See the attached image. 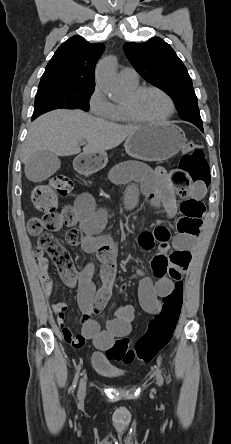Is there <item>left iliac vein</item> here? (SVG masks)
Instances as JSON below:
<instances>
[{
    "label": "left iliac vein",
    "instance_id": "4c4485c4",
    "mask_svg": "<svg viewBox=\"0 0 231 444\" xmlns=\"http://www.w3.org/2000/svg\"><path fill=\"white\" fill-rule=\"evenodd\" d=\"M157 383H158V385H161V384H162V378H161V376H158V377H157Z\"/></svg>",
    "mask_w": 231,
    "mask_h": 444
}]
</instances>
